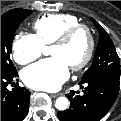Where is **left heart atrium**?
<instances>
[{
	"label": "left heart atrium",
	"mask_w": 121,
	"mask_h": 121,
	"mask_svg": "<svg viewBox=\"0 0 121 121\" xmlns=\"http://www.w3.org/2000/svg\"><path fill=\"white\" fill-rule=\"evenodd\" d=\"M69 76V65L61 57H52L31 65L22 72V79L31 88L54 91Z\"/></svg>",
	"instance_id": "1"
}]
</instances>
